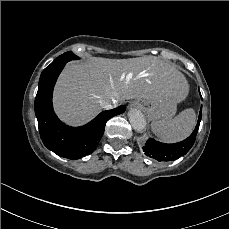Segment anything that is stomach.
Returning <instances> with one entry per match:
<instances>
[{
    "mask_svg": "<svg viewBox=\"0 0 229 229\" xmlns=\"http://www.w3.org/2000/svg\"><path fill=\"white\" fill-rule=\"evenodd\" d=\"M138 109L142 110L151 120H168L176 112V103L164 101H138Z\"/></svg>",
    "mask_w": 229,
    "mask_h": 229,
    "instance_id": "stomach-1",
    "label": "stomach"
}]
</instances>
